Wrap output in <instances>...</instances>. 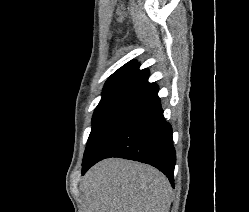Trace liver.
<instances>
[{
  "instance_id": "obj_1",
  "label": "liver",
  "mask_w": 249,
  "mask_h": 212,
  "mask_svg": "<svg viewBox=\"0 0 249 212\" xmlns=\"http://www.w3.org/2000/svg\"><path fill=\"white\" fill-rule=\"evenodd\" d=\"M84 212H169L171 186L156 168L108 158L83 176Z\"/></svg>"
}]
</instances>
